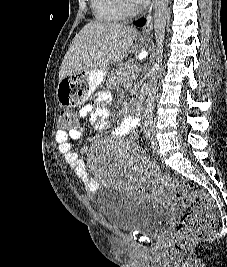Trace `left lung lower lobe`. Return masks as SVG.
I'll use <instances>...</instances> for the list:
<instances>
[{
    "label": "left lung lower lobe",
    "mask_w": 227,
    "mask_h": 267,
    "mask_svg": "<svg viewBox=\"0 0 227 267\" xmlns=\"http://www.w3.org/2000/svg\"><path fill=\"white\" fill-rule=\"evenodd\" d=\"M145 23H146V19H145V18H142V19L136 21L134 24H135L136 26H140V27H142V26L145 25Z\"/></svg>",
    "instance_id": "obj_1"
}]
</instances>
